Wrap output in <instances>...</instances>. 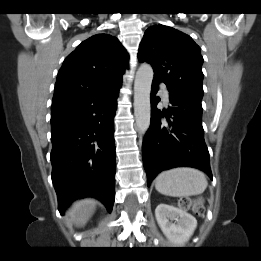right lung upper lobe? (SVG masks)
<instances>
[{
	"label": "right lung upper lobe",
	"instance_id": "cb5924a9",
	"mask_svg": "<svg viewBox=\"0 0 261 261\" xmlns=\"http://www.w3.org/2000/svg\"><path fill=\"white\" fill-rule=\"evenodd\" d=\"M127 63L128 54L116 37L91 36L64 60L52 104L121 87Z\"/></svg>",
	"mask_w": 261,
	"mask_h": 261
}]
</instances>
